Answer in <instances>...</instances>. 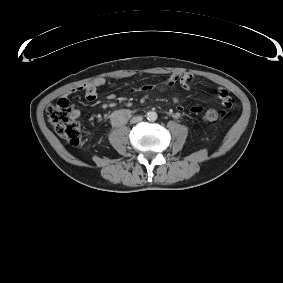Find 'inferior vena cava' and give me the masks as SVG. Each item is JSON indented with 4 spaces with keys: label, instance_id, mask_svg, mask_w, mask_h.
Returning a JSON list of instances; mask_svg holds the SVG:
<instances>
[{
    "label": "inferior vena cava",
    "instance_id": "1",
    "mask_svg": "<svg viewBox=\"0 0 283 283\" xmlns=\"http://www.w3.org/2000/svg\"><path fill=\"white\" fill-rule=\"evenodd\" d=\"M143 120V117L142 116H135V117H133L132 119H131V123H138V122H140V121H142Z\"/></svg>",
    "mask_w": 283,
    "mask_h": 283
}]
</instances>
